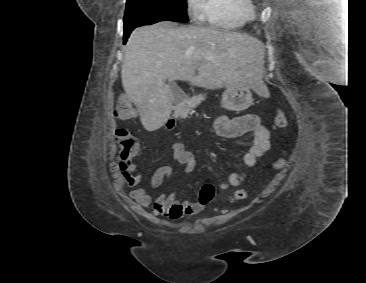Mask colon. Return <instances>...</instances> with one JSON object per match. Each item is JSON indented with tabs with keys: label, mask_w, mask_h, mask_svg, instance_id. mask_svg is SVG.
Returning <instances> with one entry per match:
<instances>
[{
	"label": "colon",
	"mask_w": 366,
	"mask_h": 283,
	"mask_svg": "<svg viewBox=\"0 0 366 283\" xmlns=\"http://www.w3.org/2000/svg\"><path fill=\"white\" fill-rule=\"evenodd\" d=\"M115 116L118 119L126 120L135 114V110L131 103L125 97H120L117 101L115 108ZM287 124V118L283 111L278 110L273 121L275 129H281ZM115 137L117 142L121 146L119 153V159L122 164L129 163L130 160L136 155L138 151V145L135 139L124 128H117L115 131ZM285 166V160L283 158L277 159L273 162L275 169H282ZM214 195V186L212 184H204L199 192V203L204 205L208 203ZM248 196L247 189L237 190L233 196L232 201L243 200Z\"/></svg>",
	"instance_id": "obj_1"
}]
</instances>
